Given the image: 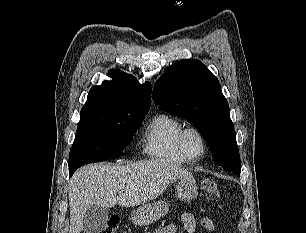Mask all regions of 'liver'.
Instances as JSON below:
<instances>
[{"mask_svg": "<svg viewBox=\"0 0 306 233\" xmlns=\"http://www.w3.org/2000/svg\"><path fill=\"white\" fill-rule=\"evenodd\" d=\"M185 169L153 159L123 166L90 164L78 169L69 185L70 231L81 233L86 211L93 205L133 207L160 196L173 181L191 177ZM125 191L116 196L119 186Z\"/></svg>", "mask_w": 306, "mask_h": 233, "instance_id": "6515ba94", "label": "liver"}]
</instances>
